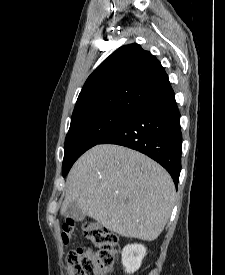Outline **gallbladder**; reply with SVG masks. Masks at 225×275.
<instances>
[{"instance_id":"1","label":"gallbladder","mask_w":225,"mask_h":275,"mask_svg":"<svg viewBox=\"0 0 225 275\" xmlns=\"http://www.w3.org/2000/svg\"><path fill=\"white\" fill-rule=\"evenodd\" d=\"M63 214L66 218L73 219L76 222H80L85 218V214L76 202L70 203Z\"/></svg>"}]
</instances>
